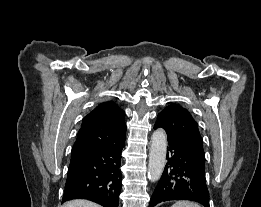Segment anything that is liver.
<instances>
[{
  "label": "liver",
  "instance_id": "liver-1",
  "mask_svg": "<svg viewBox=\"0 0 261 207\" xmlns=\"http://www.w3.org/2000/svg\"><path fill=\"white\" fill-rule=\"evenodd\" d=\"M62 207H101V206L88 200H72L65 203Z\"/></svg>",
  "mask_w": 261,
  "mask_h": 207
}]
</instances>
